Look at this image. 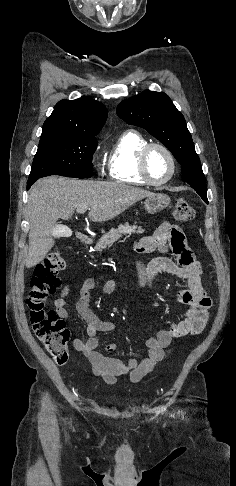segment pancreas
I'll return each mask as SVG.
<instances>
[{
    "label": "pancreas",
    "mask_w": 236,
    "mask_h": 486,
    "mask_svg": "<svg viewBox=\"0 0 236 486\" xmlns=\"http://www.w3.org/2000/svg\"><path fill=\"white\" fill-rule=\"evenodd\" d=\"M144 229L136 226H130L128 223L119 225L117 229H111L108 233H105L97 242L95 246L96 251H102L103 249L110 247L122 236H131L132 234H142Z\"/></svg>",
    "instance_id": "cf45deb5"
}]
</instances>
